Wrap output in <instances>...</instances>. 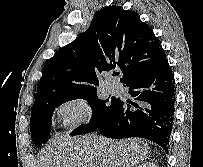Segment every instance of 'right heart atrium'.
<instances>
[{
    "label": "right heart atrium",
    "mask_w": 203,
    "mask_h": 167,
    "mask_svg": "<svg viewBox=\"0 0 203 167\" xmlns=\"http://www.w3.org/2000/svg\"><path fill=\"white\" fill-rule=\"evenodd\" d=\"M92 114V105L84 97L66 100L58 107V115L66 129L73 130L88 122Z\"/></svg>",
    "instance_id": "obj_1"
}]
</instances>
